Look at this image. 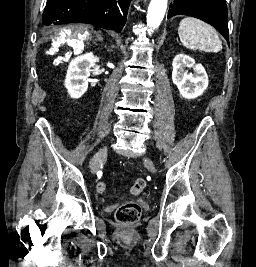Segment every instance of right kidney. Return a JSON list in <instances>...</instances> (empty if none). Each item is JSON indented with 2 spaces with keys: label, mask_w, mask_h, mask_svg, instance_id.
I'll use <instances>...</instances> for the list:
<instances>
[{
  "label": "right kidney",
  "mask_w": 256,
  "mask_h": 267,
  "mask_svg": "<svg viewBox=\"0 0 256 267\" xmlns=\"http://www.w3.org/2000/svg\"><path fill=\"white\" fill-rule=\"evenodd\" d=\"M98 58L92 52L77 56L70 62L64 82L71 98H81L88 88L91 68Z\"/></svg>",
  "instance_id": "right-kidney-1"
}]
</instances>
